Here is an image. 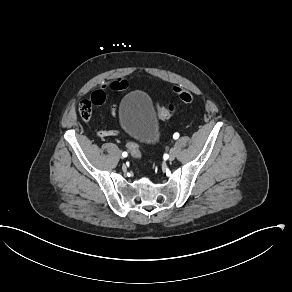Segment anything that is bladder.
I'll list each match as a JSON object with an SVG mask.
<instances>
[{
    "label": "bladder",
    "mask_w": 292,
    "mask_h": 292,
    "mask_svg": "<svg viewBox=\"0 0 292 292\" xmlns=\"http://www.w3.org/2000/svg\"><path fill=\"white\" fill-rule=\"evenodd\" d=\"M118 119L122 129L135 141L152 144L159 138V127L149 96L136 90L122 101Z\"/></svg>",
    "instance_id": "bladder-1"
}]
</instances>
